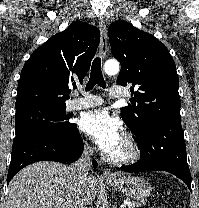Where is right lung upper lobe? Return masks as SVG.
<instances>
[{"instance_id":"right-lung-upper-lobe-1","label":"right lung upper lobe","mask_w":199,"mask_h":208,"mask_svg":"<svg viewBox=\"0 0 199 208\" xmlns=\"http://www.w3.org/2000/svg\"><path fill=\"white\" fill-rule=\"evenodd\" d=\"M99 41L97 27L75 21L37 48L21 71L16 110L66 107L71 87L82 84Z\"/></svg>"}]
</instances>
